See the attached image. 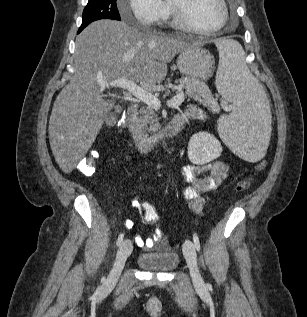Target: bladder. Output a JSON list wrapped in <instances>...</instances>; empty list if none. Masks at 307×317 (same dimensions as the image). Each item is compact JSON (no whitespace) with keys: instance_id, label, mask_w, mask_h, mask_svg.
<instances>
[{"instance_id":"1","label":"bladder","mask_w":307,"mask_h":317,"mask_svg":"<svg viewBox=\"0 0 307 317\" xmlns=\"http://www.w3.org/2000/svg\"><path fill=\"white\" fill-rule=\"evenodd\" d=\"M137 265L148 271H172L179 265L177 252L143 253L136 259Z\"/></svg>"}]
</instances>
